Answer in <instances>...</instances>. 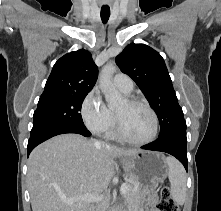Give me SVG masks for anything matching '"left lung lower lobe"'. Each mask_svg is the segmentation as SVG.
Segmentation results:
<instances>
[{
	"label": "left lung lower lobe",
	"instance_id": "1",
	"mask_svg": "<svg viewBox=\"0 0 221 211\" xmlns=\"http://www.w3.org/2000/svg\"><path fill=\"white\" fill-rule=\"evenodd\" d=\"M145 150L161 151L176 157L187 170V138L186 131H178L158 138L142 147Z\"/></svg>",
	"mask_w": 221,
	"mask_h": 211
}]
</instances>
